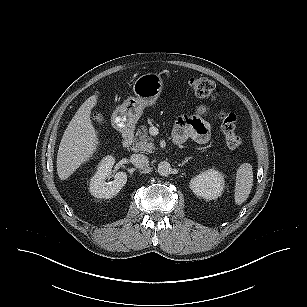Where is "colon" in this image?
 Here are the masks:
<instances>
[{"label":"colon","mask_w":307,"mask_h":307,"mask_svg":"<svg viewBox=\"0 0 307 307\" xmlns=\"http://www.w3.org/2000/svg\"><path fill=\"white\" fill-rule=\"evenodd\" d=\"M190 91L199 98L215 100L219 94V89L215 82L207 77L194 76L188 81ZM220 130L224 135L227 146L230 149L242 147L243 137L236 131V117L229 110L219 113Z\"/></svg>","instance_id":"obj_1"}]
</instances>
